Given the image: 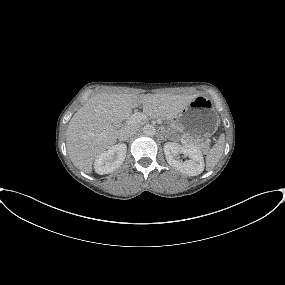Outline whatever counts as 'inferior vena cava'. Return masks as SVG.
<instances>
[{
    "mask_svg": "<svg viewBox=\"0 0 285 285\" xmlns=\"http://www.w3.org/2000/svg\"><path fill=\"white\" fill-rule=\"evenodd\" d=\"M136 130H137L136 128L129 126V125L123 126L122 128L118 130L119 141L128 140L136 132Z\"/></svg>",
    "mask_w": 285,
    "mask_h": 285,
    "instance_id": "obj_1",
    "label": "inferior vena cava"
}]
</instances>
